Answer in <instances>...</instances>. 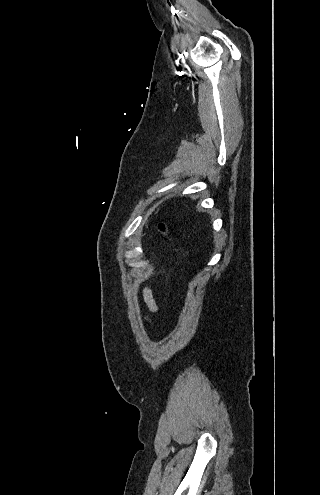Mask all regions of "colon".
<instances>
[{
	"label": "colon",
	"instance_id": "1",
	"mask_svg": "<svg viewBox=\"0 0 320 495\" xmlns=\"http://www.w3.org/2000/svg\"><path fill=\"white\" fill-rule=\"evenodd\" d=\"M160 230H161L163 233H167V229H166V227H165V225H164V224H161V225H160ZM173 245H174V248H175L176 254H177V256L179 257V256H180V248L178 247V245H177L175 242H173Z\"/></svg>",
	"mask_w": 320,
	"mask_h": 495
}]
</instances>
